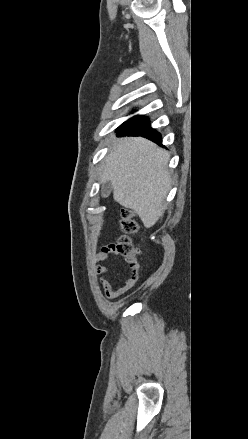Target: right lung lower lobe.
Instances as JSON below:
<instances>
[{
    "mask_svg": "<svg viewBox=\"0 0 248 439\" xmlns=\"http://www.w3.org/2000/svg\"><path fill=\"white\" fill-rule=\"evenodd\" d=\"M118 133L127 136H142L161 145V135L149 125V120L145 116H134L118 129Z\"/></svg>",
    "mask_w": 248,
    "mask_h": 439,
    "instance_id": "obj_1",
    "label": "right lung lower lobe"
}]
</instances>
